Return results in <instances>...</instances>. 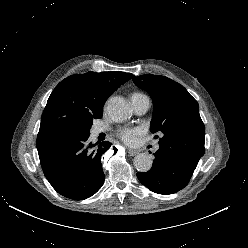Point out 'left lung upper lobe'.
<instances>
[{"label": "left lung upper lobe", "instance_id": "5c2ea615", "mask_svg": "<svg viewBox=\"0 0 248 248\" xmlns=\"http://www.w3.org/2000/svg\"><path fill=\"white\" fill-rule=\"evenodd\" d=\"M133 82L152 98L150 131L161 133L160 149L197 166L205 152V127L197 101L182 85L165 76H133Z\"/></svg>", "mask_w": 248, "mask_h": 248}]
</instances>
